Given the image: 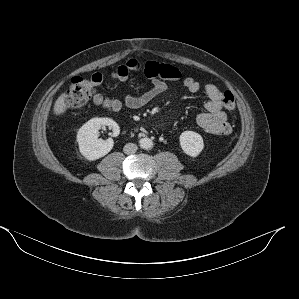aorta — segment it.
Here are the masks:
<instances>
[{
  "label": "aorta",
  "instance_id": "762f6f07",
  "mask_svg": "<svg viewBox=\"0 0 299 299\" xmlns=\"http://www.w3.org/2000/svg\"><path fill=\"white\" fill-rule=\"evenodd\" d=\"M140 146L143 148V149H151L153 147V141L150 139V138H142L140 140Z\"/></svg>",
  "mask_w": 299,
  "mask_h": 299
}]
</instances>
